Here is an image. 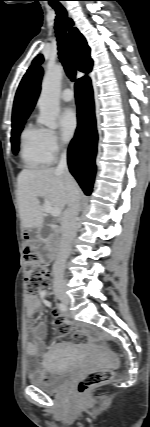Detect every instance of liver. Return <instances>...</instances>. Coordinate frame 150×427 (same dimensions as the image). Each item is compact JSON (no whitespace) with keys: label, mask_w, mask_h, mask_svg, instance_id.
<instances>
[{"label":"liver","mask_w":150,"mask_h":427,"mask_svg":"<svg viewBox=\"0 0 150 427\" xmlns=\"http://www.w3.org/2000/svg\"><path fill=\"white\" fill-rule=\"evenodd\" d=\"M74 184L79 191L77 183ZM17 198L22 226L26 229L40 228L44 221V211L39 197L45 198L52 207L61 211L66 206L67 187L62 173L54 168L24 169L18 175Z\"/></svg>","instance_id":"1"}]
</instances>
